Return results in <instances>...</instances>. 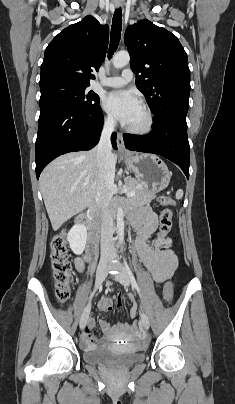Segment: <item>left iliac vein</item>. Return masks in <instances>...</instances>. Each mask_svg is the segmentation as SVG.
Returning a JSON list of instances; mask_svg holds the SVG:
<instances>
[{"mask_svg":"<svg viewBox=\"0 0 235 404\" xmlns=\"http://www.w3.org/2000/svg\"><path fill=\"white\" fill-rule=\"evenodd\" d=\"M120 272L116 274L117 281L122 284L124 287H129L130 280L127 272L123 268H119ZM141 323L143 327L148 330L150 327L149 319L145 313L141 315Z\"/></svg>","mask_w":235,"mask_h":404,"instance_id":"1","label":"left iliac vein"}]
</instances>
